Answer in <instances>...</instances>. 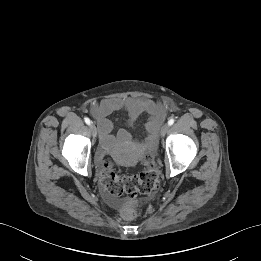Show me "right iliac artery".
Wrapping results in <instances>:
<instances>
[{"label": "right iliac artery", "instance_id": "82829eb1", "mask_svg": "<svg viewBox=\"0 0 261 261\" xmlns=\"http://www.w3.org/2000/svg\"><path fill=\"white\" fill-rule=\"evenodd\" d=\"M84 120H85V123H86L87 125H90L91 121H90V119H89L88 117H86Z\"/></svg>", "mask_w": 261, "mask_h": 261}]
</instances>
